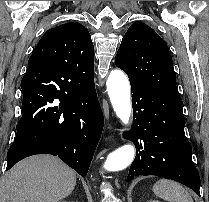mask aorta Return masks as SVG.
Listing matches in <instances>:
<instances>
[{"instance_id": "762f6f07", "label": "aorta", "mask_w": 209, "mask_h": 202, "mask_svg": "<svg viewBox=\"0 0 209 202\" xmlns=\"http://www.w3.org/2000/svg\"><path fill=\"white\" fill-rule=\"evenodd\" d=\"M107 92L112 107L124 125H128L132 116V105L130 96V84L126 74L119 70H112L108 76ZM135 156V148L132 144H125L107 157L104 169L107 171H119L128 167Z\"/></svg>"}]
</instances>
